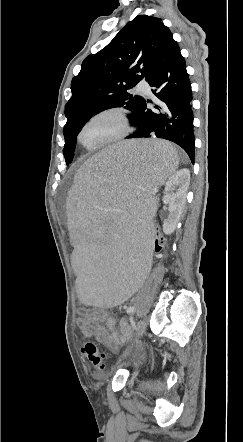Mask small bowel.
<instances>
[{"instance_id":"obj_1","label":"small bowel","mask_w":243,"mask_h":442,"mask_svg":"<svg viewBox=\"0 0 243 442\" xmlns=\"http://www.w3.org/2000/svg\"><path fill=\"white\" fill-rule=\"evenodd\" d=\"M77 325L86 338L95 337L99 343L112 351H117L131 334L125 320L121 321V333H119L116 320L96 308H82L79 311Z\"/></svg>"}]
</instances>
